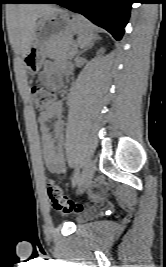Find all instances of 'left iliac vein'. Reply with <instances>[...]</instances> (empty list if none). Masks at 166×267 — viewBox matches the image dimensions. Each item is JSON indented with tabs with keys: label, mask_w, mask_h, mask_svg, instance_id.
I'll list each match as a JSON object with an SVG mask.
<instances>
[{
	"label": "left iliac vein",
	"mask_w": 166,
	"mask_h": 267,
	"mask_svg": "<svg viewBox=\"0 0 166 267\" xmlns=\"http://www.w3.org/2000/svg\"><path fill=\"white\" fill-rule=\"evenodd\" d=\"M95 172V163L92 160H89L84 168L82 176L78 183V191L82 193L85 191L91 184Z\"/></svg>",
	"instance_id": "4c4485c4"
}]
</instances>
